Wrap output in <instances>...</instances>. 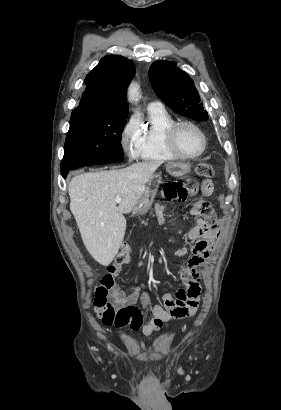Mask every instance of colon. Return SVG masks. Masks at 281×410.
Wrapping results in <instances>:
<instances>
[{
    "instance_id": "colon-1",
    "label": "colon",
    "mask_w": 281,
    "mask_h": 410,
    "mask_svg": "<svg viewBox=\"0 0 281 410\" xmlns=\"http://www.w3.org/2000/svg\"><path fill=\"white\" fill-rule=\"evenodd\" d=\"M215 170L212 165L208 163H201L197 166V174L204 178H212L214 176ZM164 196L168 201H183L188 196V189L181 181H172L164 185ZM131 249L128 245H123L116 256L117 264L124 265L130 261ZM199 301L190 300L188 307L183 311L184 313H190L192 310L197 309ZM130 316L133 317V322H130ZM141 312L138 310H128L115 311L113 309L107 310L104 314L100 316L102 321L107 324H115L118 327H124L129 325L130 328L134 329L140 323Z\"/></svg>"
}]
</instances>
